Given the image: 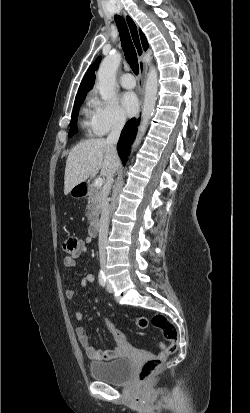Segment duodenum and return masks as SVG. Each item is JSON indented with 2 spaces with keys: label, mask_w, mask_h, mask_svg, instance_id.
I'll use <instances>...</instances> for the list:
<instances>
[{
  "label": "duodenum",
  "mask_w": 250,
  "mask_h": 413,
  "mask_svg": "<svg viewBox=\"0 0 250 413\" xmlns=\"http://www.w3.org/2000/svg\"><path fill=\"white\" fill-rule=\"evenodd\" d=\"M85 183H83V184H81V188H82V190H84L85 189ZM99 222L98 221H93L91 224H90V226H89V234L92 236V237H95V236H97V234H98V232H99Z\"/></svg>",
  "instance_id": "410a0bca"
}]
</instances>
